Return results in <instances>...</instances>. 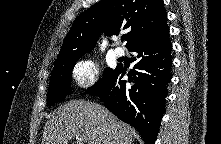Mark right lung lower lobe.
I'll return each mask as SVG.
<instances>
[{"label": "right lung lower lobe", "mask_w": 221, "mask_h": 144, "mask_svg": "<svg viewBox=\"0 0 221 144\" xmlns=\"http://www.w3.org/2000/svg\"><path fill=\"white\" fill-rule=\"evenodd\" d=\"M169 27L164 24L156 31L134 41L128 50L135 52L134 70L126 74L118 66L99 87L89 92L100 97L106 107L122 121L135 127L145 144H154L164 113L167 86L171 81L172 44Z\"/></svg>", "instance_id": "1"}]
</instances>
